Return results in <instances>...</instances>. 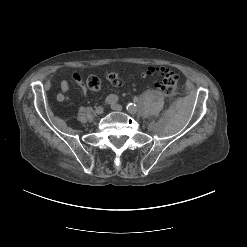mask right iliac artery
Returning a JSON list of instances; mask_svg holds the SVG:
<instances>
[{
    "label": "right iliac artery",
    "mask_w": 247,
    "mask_h": 247,
    "mask_svg": "<svg viewBox=\"0 0 247 247\" xmlns=\"http://www.w3.org/2000/svg\"><path fill=\"white\" fill-rule=\"evenodd\" d=\"M105 102L107 104H115L118 102V96L115 94H111V95L106 97Z\"/></svg>",
    "instance_id": "obj_1"
}]
</instances>
